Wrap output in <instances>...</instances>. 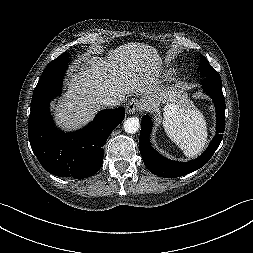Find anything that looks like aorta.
I'll use <instances>...</instances> for the list:
<instances>
[{
	"mask_svg": "<svg viewBox=\"0 0 253 253\" xmlns=\"http://www.w3.org/2000/svg\"><path fill=\"white\" fill-rule=\"evenodd\" d=\"M123 126H124L125 132L129 134H134L140 128V122L138 118L131 117L124 121Z\"/></svg>",
	"mask_w": 253,
	"mask_h": 253,
	"instance_id": "762f6f07",
	"label": "aorta"
}]
</instances>
